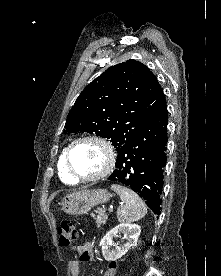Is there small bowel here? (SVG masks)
<instances>
[{
  "mask_svg": "<svg viewBox=\"0 0 221 276\" xmlns=\"http://www.w3.org/2000/svg\"><path fill=\"white\" fill-rule=\"evenodd\" d=\"M77 252L79 255L78 260H73L70 262V271L73 276L80 275V262L82 261H94L93 246L90 242H86L77 247Z\"/></svg>",
  "mask_w": 221,
  "mask_h": 276,
  "instance_id": "small-bowel-1",
  "label": "small bowel"
}]
</instances>
